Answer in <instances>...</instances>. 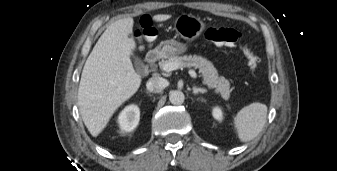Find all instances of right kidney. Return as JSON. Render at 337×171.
I'll return each mask as SVG.
<instances>
[{
	"instance_id": "obj_1",
	"label": "right kidney",
	"mask_w": 337,
	"mask_h": 171,
	"mask_svg": "<svg viewBox=\"0 0 337 171\" xmlns=\"http://www.w3.org/2000/svg\"><path fill=\"white\" fill-rule=\"evenodd\" d=\"M140 119L138 106L130 105L125 107L118 116V124L123 132H130L136 128Z\"/></svg>"
}]
</instances>
